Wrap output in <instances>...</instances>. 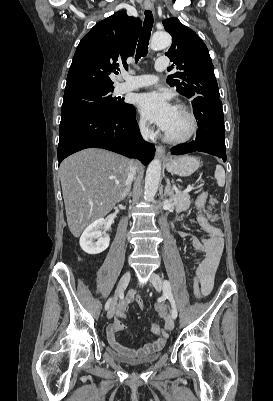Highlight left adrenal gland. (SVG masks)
Segmentation results:
<instances>
[{
	"label": "left adrenal gland",
	"instance_id": "left-adrenal-gland-1",
	"mask_svg": "<svg viewBox=\"0 0 273 401\" xmlns=\"http://www.w3.org/2000/svg\"><path fill=\"white\" fill-rule=\"evenodd\" d=\"M161 196H164V198H166V196H169V198H171V196H174V186H172L169 178H166V186L164 188V194H161Z\"/></svg>",
	"mask_w": 273,
	"mask_h": 401
}]
</instances>
